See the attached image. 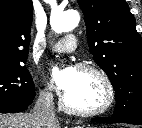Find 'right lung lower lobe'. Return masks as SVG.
Masks as SVG:
<instances>
[{
  "label": "right lung lower lobe",
  "mask_w": 142,
  "mask_h": 128,
  "mask_svg": "<svg viewBox=\"0 0 142 128\" xmlns=\"http://www.w3.org/2000/svg\"><path fill=\"white\" fill-rule=\"evenodd\" d=\"M29 105L21 103L4 102L0 103V113L21 112L28 108Z\"/></svg>",
  "instance_id": "98d812e1"
}]
</instances>
